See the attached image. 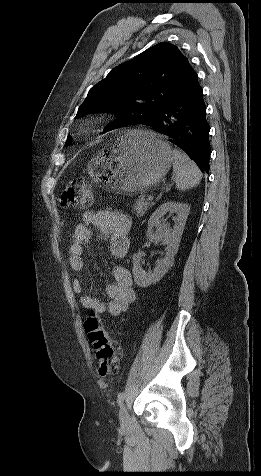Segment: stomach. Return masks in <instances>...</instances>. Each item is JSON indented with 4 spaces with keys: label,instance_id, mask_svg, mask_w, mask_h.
<instances>
[{
    "label": "stomach",
    "instance_id": "obj_1",
    "mask_svg": "<svg viewBox=\"0 0 261 476\" xmlns=\"http://www.w3.org/2000/svg\"><path fill=\"white\" fill-rule=\"evenodd\" d=\"M170 146L150 131L122 132L87 164L94 181L126 194L155 186L173 164Z\"/></svg>",
    "mask_w": 261,
    "mask_h": 476
}]
</instances>
